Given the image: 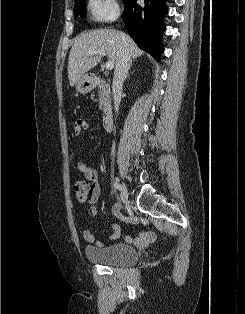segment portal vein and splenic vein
<instances>
[{
	"label": "portal vein and splenic vein",
	"instance_id": "18ae733b",
	"mask_svg": "<svg viewBox=\"0 0 245 314\" xmlns=\"http://www.w3.org/2000/svg\"><path fill=\"white\" fill-rule=\"evenodd\" d=\"M96 54H99L101 56H105L106 55V53L104 51H89L88 52L89 56H93V55H96ZM105 67H106L107 70L113 69L114 68V61L113 60L107 61L106 64H105Z\"/></svg>",
	"mask_w": 245,
	"mask_h": 314
}]
</instances>
